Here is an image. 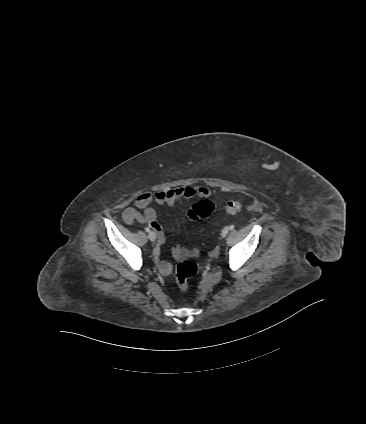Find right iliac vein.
<instances>
[{
    "instance_id": "1",
    "label": "right iliac vein",
    "mask_w": 366,
    "mask_h": 424,
    "mask_svg": "<svg viewBox=\"0 0 366 424\" xmlns=\"http://www.w3.org/2000/svg\"><path fill=\"white\" fill-rule=\"evenodd\" d=\"M148 237L151 241L156 240V234L153 231L149 232Z\"/></svg>"
}]
</instances>
